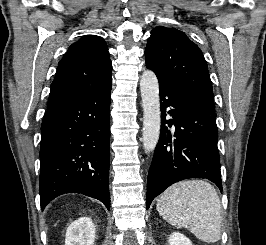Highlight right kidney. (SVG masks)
Returning a JSON list of instances; mask_svg holds the SVG:
<instances>
[{
    "label": "right kidney",
    "mask_w": 266,
    "mask_h": 245,
    "mask_svg": "<svg viewBox=\"0 0 266 245\" xmlns=\"http://www.w3.org/2000/svg\"><path fill=\"white\" fill-rule=\"evenodd\" d=\"M75 233V245H94L95 227L92 219L80 217L78 221H73Z\"/></svg>",
    "instance_id": "ca27d5eb"
}]
</instances>
